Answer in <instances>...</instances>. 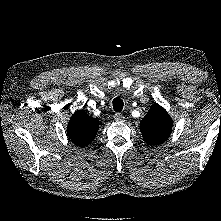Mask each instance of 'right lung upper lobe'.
I'll return each mask as SVG.
<instances>
[{
    "label": "right lung upper lobe",
    "mask_w": 221,
    "mask_h": 221,
    "mask_svg": "<svg viewBox=\"0 0 221 221\" xmlns=\"http://www.w3.org/2000/svg\"><path fill=\"white\" fill-rule=\"evenodd\" d=\"M99 121L81 110L74 113L69 121L67 132L71 141L77 146L89 145L97 134Z\"/></svg>",
    "instance_id": "1"
}]
</instances>
